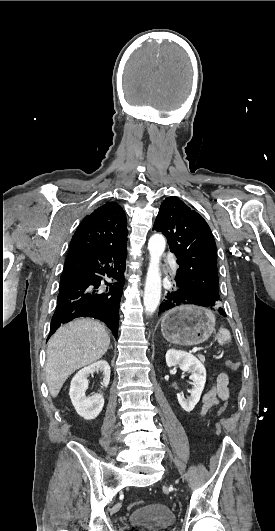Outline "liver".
<instances>
[{
  "instance_id": "1",
  "label": "liver",
  "mask_w": 275,
  "mask_h": 531,
  "mask_svg": "<svg viewBox=\"0 0 275 531\" xmlns=\"http://www.w3.org/2000/svg\"><path fill=\"white\" fill-rule=\"evenodd\" d=\"M110 345L104 325L78 319L60 327L47 347L46 381L51 397H57L74 371L102 359Z\"/></svg>"
}]
</instances>
